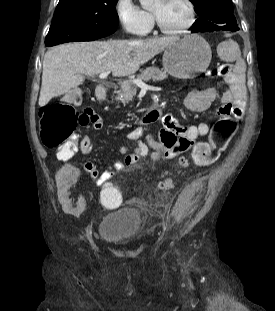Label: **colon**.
Wrapping results in <instances>:
<instances>
[{
    "label": "colon",
    "mask_w": 275,
    "mask_h": 311,
    "mask_svg": "<svg viewBox=\"0 0 275 311\" xmlns=\"http://www.w3.org/2000/svg\"><path fill=\"white\" fill-rule=\"evenodd\" d=\"M218 75L229 77L231 75V65L222 63L217 69ZM73 98L77 100L80 96L78 91L73 93ZM40 138L47 148L57 149V155L62 159H69L78 149L77 139L73 138L79 125H88L94 116V112L89 109L78 110L71 103H56L43 107L39 113ZM148 119V118H147ZM146 123V120L145 122ZM237 119L217 118L211 138L208 142L192 141L191 147L194 148V162L197 166H209L215 164L222 152L228 147L232 137L238 130ZM82 149V145H81ZM181 164L186 166L187 160L181 159ZM109 183H99L101 201L107 206H116L119 201V191L117 186ZM162 188L170 190L172 183L166 180Z\"/></svg>",
    "instance_id": "obj_1"
}]
</instances>
